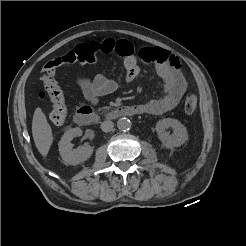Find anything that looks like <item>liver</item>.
I'll return each mask as SVG.
<instances>
[{
  "instance_id": "1",
  "label": "liver",
  "mask_w": 246,
  "mask_h": 246,
  "mask_svg": "<svg viewBox=\"0 0 246 246\" xmlns=\"http://www.w3.org/2000/svg\"><path fill=\"white\" fill-rule=\"evenodd\" d=\"M32 135L39 153L46 157L53 143V134L45 114L40 107L35 109L32 119Z\"/></svg>"
}]
</instances>
